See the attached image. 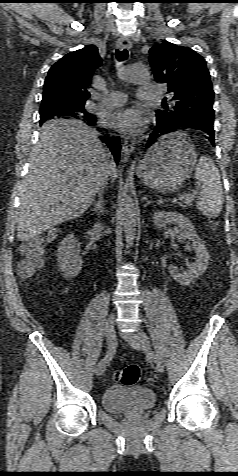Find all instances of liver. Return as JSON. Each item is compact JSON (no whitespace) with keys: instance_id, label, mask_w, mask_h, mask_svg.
I'll use <instances>...</instances> for the list:
<instances>
[{"instance_id":"obj_1","label":"liver","mask_w":238,"mask_h":476,"mask_svg":"<svg viewBox=\"0 0 238 476\" xmlns=\"http://www.w3.org/2000/svg\"><path fill=\"white\" fill-rule=\"evenodd\" d=\"M21 185L17 237L29 241L83 215L110 176L111 155L97 131L80 120L53 119L40 130Z\"/></svg>"}]
</instances>
